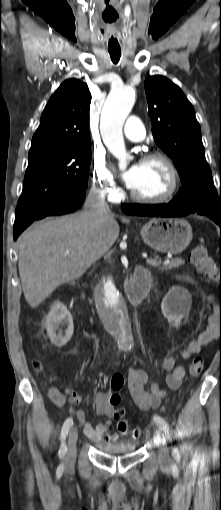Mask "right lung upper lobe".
Returning a JSON list of instances; mask_svg holds the SVG:
<instances>
[{"label": "right lung upper lobe", "instance_id": "cb5924a9", "mask_svg": "<svg viewBox=\"0 0 221 510\" xmlns=\"http://www.w3.org/2000/svg\"><path fill=\"white\" fill-rule=\"evenodd\" d=\"M90 102L91 95L85 83L74 78L64 81L42 113L29 156L90 144Z\"/></svg>", "mask_w": 221, "mask_h": 510}]
</instances>
